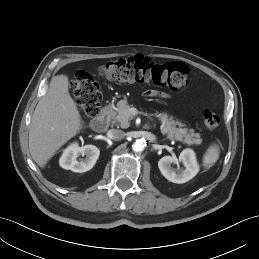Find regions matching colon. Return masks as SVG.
<instances>
[{
	"instance_id": "1",
	"label": "colon",
	"mask_w": 259,
	"mask_h": 259,
	"mask_svg": "<svg viewBox=\"0 0 259 259\" xmlns=\"http://www.w3.org/2000/svg\"><path fill=\"white\" fill-rule=\"evenodd\" d=\"M100 75L122 83H153L172 90L183 89L188 84V68L181 62L158 63L144 56L123 58L104 63ZM76 102L86 117H95L100 109L102 94L94 77L86 71H77L71 80ZM204 126L215 130L220 124L219 114L211 109L202 115Z\"/></svg>"
}]
</instances>
